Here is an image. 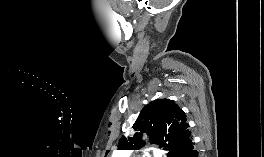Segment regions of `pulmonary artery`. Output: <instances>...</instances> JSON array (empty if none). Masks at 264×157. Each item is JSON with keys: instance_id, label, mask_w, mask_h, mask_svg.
<instances>
[{"instance_id": "e3ab8cb5", "label": "pulmonary artery", "mask_w": 264, "mask_h": 157, "mask_svg": "<svg viewBox=\"0 0 264 157\" xmlns=\"http://www.w3.org/2000/svg\"><path fill=\"white\" fill-rule=\"evenodd\" d=\"M121 154H123L125 157H127L128 152L127 151H123V152H121Z\"/></svg>"}]
</instances>
